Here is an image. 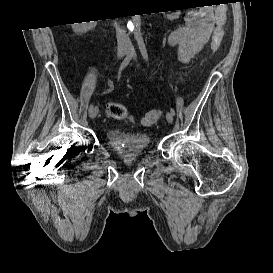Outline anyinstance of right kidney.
<instances>
[{
  "label": "right kidney",
  "mask_w": 273,
  "mask_h": 273,
  "mask_svg": "<svg viewBox=\"0 0 273 273\" xmlns=\"http://www.w3.org/2000/svg\"><path fill=\"white\" fill-rule=\"evenodd\" d=\"M96 26V22L95 21H91L90 23H86V22H82V23H75L73 25V30L75 32H79V33H85L87 32L89 29H91L92 27Z\"/></svg>",
  "instance_id": "1"
}]
</instances>
